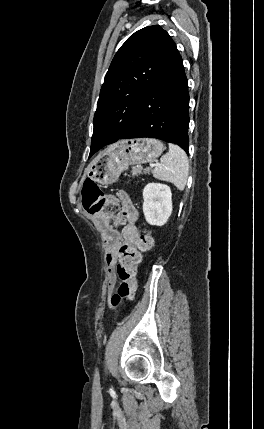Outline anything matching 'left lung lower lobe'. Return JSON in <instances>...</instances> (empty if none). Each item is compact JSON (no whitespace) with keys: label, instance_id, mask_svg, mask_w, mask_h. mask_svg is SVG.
Instances as JSON below:
<instances>
[{"label":"left lung lower lobe","instance_id":"1","mask_svg":"<svg viewBox=\"0 0 264 429\" xmlns=\"http://www.w3.org/2000/svg\"><path fill=\"white\" fill-rule=\"evenodd\" d=\"M189 93L182 58L171 42L162 67L140 102L137 119L123 139L151 137L188 153Z\"/></svg>","mask_w":264,"mask_h":429}]
</instances>
